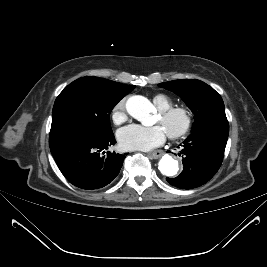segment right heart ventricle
Masks as SVG:
<instances>
[{
  "mask_svg": "<svg viewBox=\"0 0 267 267\" xmlns=\"http://www.w3.org/2000/svg\"><path fill=\"white\" fill-rule=\"evenodd\" d=\"M153 102L157 108L162 111L172 107V102L166 95L157 94L153 97Z\"/></svg>",
  "mask_w": 267,
  "mask_h": 267,
  "instance_id": "e07e8e85",
  "label": "right heart ventricle"
}]
</instances>
